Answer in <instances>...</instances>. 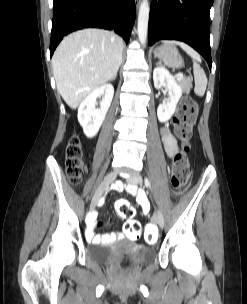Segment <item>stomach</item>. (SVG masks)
Instances as JSON below:
<instances>
[{
  "label": "stomach",
  "mask_w": 247,
  "mask_h": 304,
  "mask_svg": "<svg viewBox=\"0 0 247 304\" xmlns=\"http://www.w3.org/2000/svg\"><path fill=\"white\" fill-rule=\"evenodd\" d=\"M154 56L166 66L178 69L184 66V60L174 43L166 42L154 49Z\"/></svg>",
  "instance_id": "obj_1"
}]
</instances>
